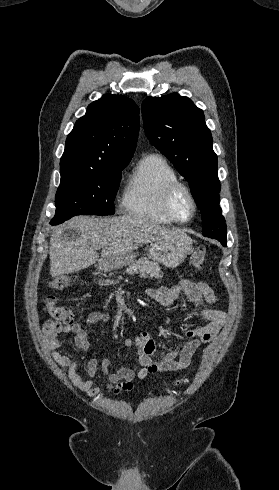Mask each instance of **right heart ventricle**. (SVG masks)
Segmentation results:
<instances>
[{"mask_svg": "<svg viewBox=\"0 0 279 490\" xmlns=\"http://www.w3.org/2000/svg\"><path fill=\"white\" fill-rule=\"evenodd\" d=\"M179 176L168 161L159 154L143 157L128 186L124 205L127 212L141 220L160 225L177 221L165 208V195Z\"/></svg>", "mask_w": 279, "mask_h": 490, "instance_id": "obj_1", "label": "right heart ventricle"}]
</instances>
